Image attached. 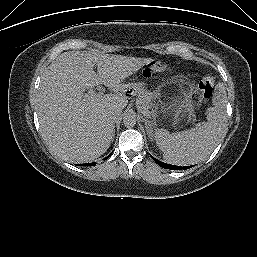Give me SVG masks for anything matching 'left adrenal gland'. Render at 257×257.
<instances>
[{"instance_id": "obj_1", "label": "left adrenal gland", "mask_w": 257, "mask_h": 257, "mask_svg": "<svg viewBox=\"0 0 257 257\" xmlns=\"http://www.w3.org/2000/svg\"><path fill=\"white\" fill-rule=\"evenodd\" d=\"M144 120V123H145V126H146V129H147V133H148V135H149V137H151V125H152V123H151V121H149V120H147V119H143Z\"/></svg>"}]
</instances>
